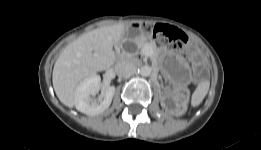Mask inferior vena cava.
I'll use <instances>...</instances> for the list:
<instances>
[{
	"instance_id": "602c4592",
	"label": "inferior vena cava",
	"mask_w": 261,
	"mask_h": 150,
	"mask_svg": "<svg viewBox=\"0 0 261 150\" xmlns=\"http://www.w3.org/2000/svg\"><path fill=\"white\" fill-rule=\"evenodd\" d=\"M136 71V67L128 61H119L115 65V72L120 77H129Z\"/></svg>"
}]
</instances>
